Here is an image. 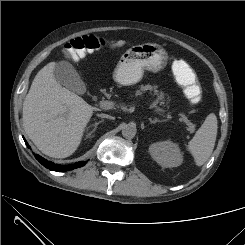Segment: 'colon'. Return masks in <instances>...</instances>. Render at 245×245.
Instances as JSON below:
<instances>
[{"instance_id": "5ec220e1", "label": "colon", "mask_w": 245, "mask_h": 245, "mask_svg": "<svg viewBox=\"0 0 245 245\" xmlns=\"http://www.w3.org/2000/svg\"><path fill=\"white\" fill-rule=\"evenodd\" d=\"M103 45V40L93 35L82 36L71 40L65 48L66 54L72 59H81L86 54L98 50ZM182 60V59H181ZM184 61V60H183ZM183 86L184 94L193 103L202 98L200 83L194 78L192 80L177 79Z\"/></svg>"}]
</instances>
